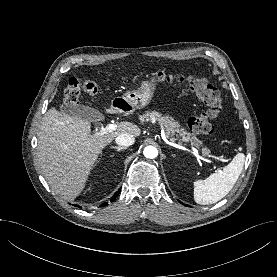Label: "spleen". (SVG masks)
I'll return each instance as SVG.
<instances>
[{
    "label": "spleen",
    "instance_id": "obj_1",
    "mask_svg": "<svg viewBox=\"0 0 277 277\" xmlns=\"http://www.w3.org/2000/svg\"><path fill=\"white\" fill-rule=\"evenodd\" d=\"M245 155L238 153L222 171L211 174L205 180L194 182V200L209 205L224 198L238 180L244 166Z\"/></svg>",
    "mask_w": 277,
    "mask_h": 277
}]
</instances>
